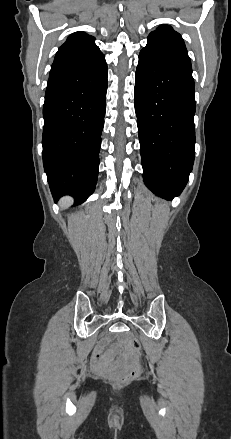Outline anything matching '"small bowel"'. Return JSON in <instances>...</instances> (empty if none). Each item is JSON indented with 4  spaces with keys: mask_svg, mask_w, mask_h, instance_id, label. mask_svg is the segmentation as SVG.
Wrapping results in <instances>:
<instances>
[{
    "mask_svg": "<svg viewBox=\"0 0 231 439\" xmlns=\"http://www.w3.org/2000/svg\"><path fill=\"white\" fill-rule=\"evenodd\" d=\"M94 362L99 364L100 366L102 365V363L97 358L94 359Z\"/></svg>",
    "mask_w": 231,
    "mask_h": 439,
    "instance_id": "obj_1",
    "label": "small bowel"
}]
</instances>
